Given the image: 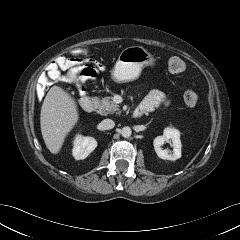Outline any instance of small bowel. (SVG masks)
<instances>
[{"label":"small bowel","instance_id":"c3829d8e","mask_svg":"<svg viewBox=\"0 0 240 240\" xmlns=\"http://www.w3.org/2000/svg\"><path fill=\"white\" fill-rule=\"evenodd\" d=\"M95 67L100 71H105L106 68L101 63L95 62ZM65 70L64 67L57 61L53 60L46 67L43 77L45 80H66L68 77H65L61 74V71ZM96 76V73L94 77ZM81 94H85V88L80 89ZM165 101V94L160 90H152L149 94L143 99L140 103L138 109L142 113L151 112L157 107H159Z\"/></svg>","mask_w":240,"mask_h":240}]
</instances>
